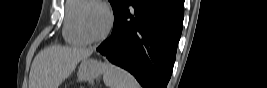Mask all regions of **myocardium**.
<instances>
[{
  "mask_svg": "<svg viewBox=\"0 0 267 88\" xmlns=\"http://www.w3.org/2000/svg\"><path fill=\"white\" fill-rule=\"evenodd\" d=\"M91 5H95V6H99L101 7L105 12H106V15H107V26L104 30V32L97 36V37H90L85 28H84V25H83V13H84V10L86 9V7L88 6H91ZM113 23H114V16H113V13L110 9V7L102 2V1H98V0H90L87 4H85L79 11L78 15H77V27H78V31L80 33V35L82 36V38L87 42V43H96V42H100L102 40H104L108 35L109 33L111 32L112 30V27H113Z\"/></svg>",
  "mask_w": 267,
  "mask_h": 88,
  "instance_id": "1",
  "label": "myocardium"
}]
</instances>
